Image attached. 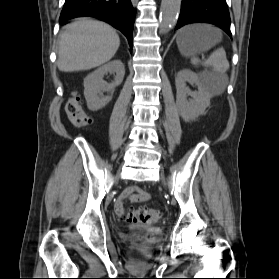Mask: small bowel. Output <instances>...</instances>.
Returning a JSON list of instances; mask_svg holds the SVG:
<instances>
[{"instance_id": "c3829d8e", "label": "small bowel", "mask_w": 279, "mask_h": 279, "mask_svg": "<svg viewBox=\"0 0 279 279\" xmlns=\"http://www.w3.org/2000/svg\"><path fill=\"white\" fill-rule=\"evenodd\" d=\"M148 198L147 192L139 188H128L126 189L117 199L115 203V212L118 215H123L124 213V202L126 200H131L134 202H142Z\"/></svg>"}]
</instances>
